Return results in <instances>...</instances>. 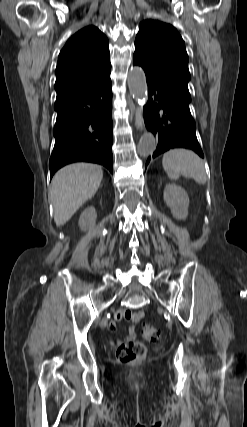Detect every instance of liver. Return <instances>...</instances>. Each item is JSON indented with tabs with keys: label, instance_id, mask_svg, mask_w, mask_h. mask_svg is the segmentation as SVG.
I'll use <instances>...</instances> for the list:
<instances>
[{
	"label": "liver",
	"instance_id": "6515ba94",
	"mask_svg": "<svg viewBox=\"0 0 247 427\" xmlns=\"http://www.w3.org/2000/svg\"><path fill=\"white\" fill-rule=\"evenodd\" d=\"M102 179L101 166L83 162L67 165L54 175L50 200L54 207V221L57 226L64 225L96 194Z\"/></svg>",
	"mask_w": 247,
	"mask_h": 427
}]
</instances>
